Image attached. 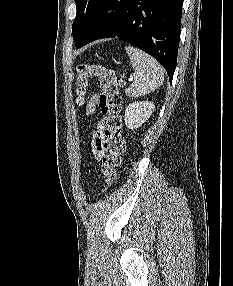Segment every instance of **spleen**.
I'll use <instances>...</instances> for the list:
<instances>
[{
    "mask_svg": "<svg viewBox=\"0 0 233 286\" xmlns=\"http://www.w3.org/2000/svg\"><path fill=\"white\" fill-rule=\"evenodd\" d=\"M125 49L134 68V80L126 89V95L139 97L157 89L164 81L162 66L149 54L136 47L126 46Z\"/></svg>",
    "mask_w": 233,
    "mask_h": 286,
    "instance_id": "3e777b00",
    "label": "spleen"
}]
</instances>
